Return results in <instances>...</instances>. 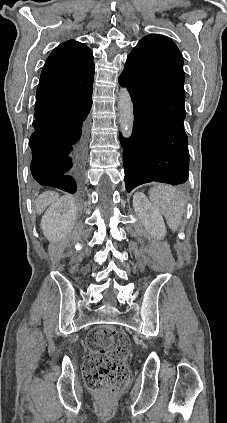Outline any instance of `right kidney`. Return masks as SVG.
I'll return each instance as SVG.
<instances>
[{"instance_id": "ca27d5eb", "label": "right kidney", "mask_w": 227, "mask_h": 423, "mask_svg": "<svg viewBox=\"0 0 227 423\" xmlns=\"http://www.w3.org/2000/svg\"><path fill=\"white\" fill-rule=\"evenodd\" d=\"M78 211L72 196H62L45 211L40 227L48 241H56L73 229Z\"/></svg>"}]
</instances>
